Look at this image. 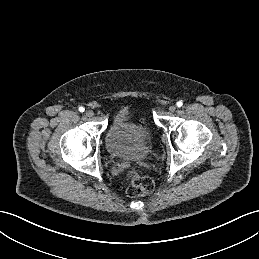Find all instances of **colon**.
Here are the masks:
<instances>
[{"label": "colon", "mask_w": 259, "mask_h": 259, "mask_svg": "<svg viewBox=\"0 0 259 259\" xmlns=\"http://www.w3.org/2000/svg\"><path fill=\"white\" fill-rule=\"evenodd\" d=\"M127 194L130 197H141L151 193L154 182L149 176L139 173L136 168H130L126 174Z\"/></svg>", "instance_id": "5ec220e1"}]
</instances>
